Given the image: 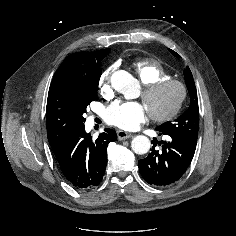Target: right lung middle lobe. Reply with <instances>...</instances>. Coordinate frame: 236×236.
<instances>
[{
	"label": "right lung middle lobe",
	"instance_id": "obj_1",
	"mask_svg": "<svg viewBox=\"0 0 236 236\" xmlns=\"http://www.w3.org/2000/svg\"><path fill=\"white\" fill-rule=\"evenodd\" d=\"M109 52V48L93 52V56L88 60L87 66H85L74 84L72 99L78 127L84 125L86 119L83 114L86 112L90 102L97 98L98 83L101 76L100 61Z\"/></svg>",
	"mask_w": 236,
	"mask_h": 236
}]
</instances>
